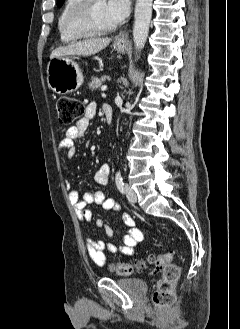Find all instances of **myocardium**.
<instances>
[{
  "label": "myocardium",
  "mask_w": 240,
  "mask_h": 329,
  "mask_svg": "<svg viewBox=\"0 0 240 329\" xmlns=\"http://www.w3.org/2000/svg\"><path fill=\"white\" fill-rule=\"evenodd\" d=\"M95 0H79L66 17L67 31L78 38L105 34L116 29L117 24L105 27L96 26L92 20V7Z\"/></svg>",
  "instance_id": "1"
}]
</instances>
